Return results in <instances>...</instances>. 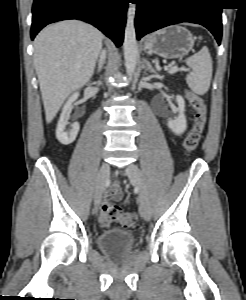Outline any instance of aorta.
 Listing matches in <instances>:
<instances>
[{"label": "aorta", "mask_w": 246, "mask_h": 300, "mask_svg": "<svg viewBox=\"0 0 246 300\" xmlns=\"http://www.w3.org/2000/svg\"><path fill=\"white\" fill-rule=\"evenodd\" d=\"M135 13V5L130 4L127 11V22L123 43L125 67L126 72L129 76H132L134 74L138 59V45L134 25Z\"/></svg>", "instance_id": "1"}]
</instances>
